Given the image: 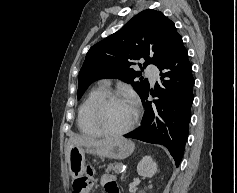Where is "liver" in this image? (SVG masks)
<instances>
[{
    "mask_svg": "<svg viewBox=\"0 0 237 193\" xmlns=\"http://www.w3.org/2000/svg\"><path fill=\"white\" fill-rule=\"evenodd\" d=\"M112 138H107L103 140H96L94 138L85 136V135H76V136H71L68 140L67 147H66V160L69 164V150L72 146H81V147H97L101 146L103 144L108 143L111 141Z\"/></svg>",
    "mask_w": 237,
    "mask_h": 193,
    "instance_id": "1",
    "label": "liver"
}]
</instances>
